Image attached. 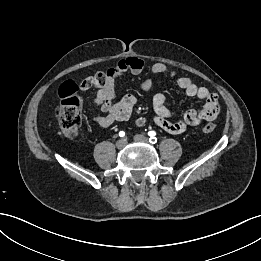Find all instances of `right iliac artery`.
Listing matches in <instances>:
<instances>
[{
    "label": "right iliac artery",
    "mask_w": 261,
    "mask_h": 261,
    "mask_svg": "<svg viewBox=\"0 0 261 261\" xmlns=\"http://www.w3.org/2000/svg\"><path fill=\"white\" fill-rule=\"evenodd\" d=\"M119 136H120V137H124V136H125V132H124V131H120V132H119Z\"/></svg>",
    "instance_id": "1"
}]
</instances>
